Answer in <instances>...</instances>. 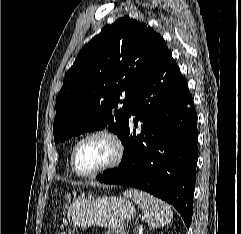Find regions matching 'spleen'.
Listing matches in <instances>:
<instances>
[{
  "label": "spleen",
  "instance_id": "obj_1",
  "mask_svg": "<svg viewBox=\"0 0 241 234\" xmlns=\"http://www.w3.org/2000/svg\"><path fill=\"white\" fill-rule=\"evenodd\" d=\"M124 196L132 199L144 211L150 227H163L170 223L173 212L161 199L138 189H129L124 192Z\"/></svg>",
  "mask_w": 241,
  "mask_h": 234
}]
</instances>
